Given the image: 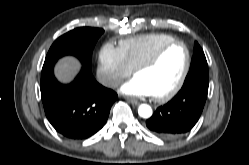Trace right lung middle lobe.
<instances>
[{
	"label": "right lung middle lobe",
	"mask_w": 249,
	"mask_h": 165,
	"mask_svg": "<svg viewBox=\"0 0 249 165\" xmlns=\"http://www.w3.org/2000/svg\"><path fill=\"white\" fill-rule=\"evenodd\" d=\"M103 32V29L90 27H80L69 31L55 40L45 61L73 55L82 62L85 68L91 71L92 51Z\"/></svg>",
	"instance_id": "right-lung-middle-lobe-1"
}]
</instances>
